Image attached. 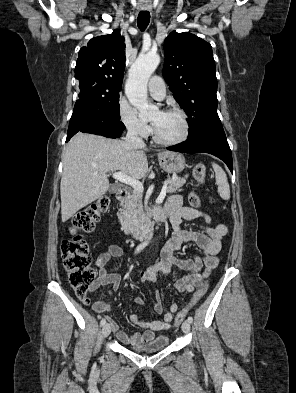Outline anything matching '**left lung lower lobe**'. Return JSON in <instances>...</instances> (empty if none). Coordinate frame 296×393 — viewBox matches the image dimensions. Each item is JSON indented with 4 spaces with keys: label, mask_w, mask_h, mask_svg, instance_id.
I'll list each match as a JSON object with an SVG mask.
<instances>
[{
    "label": "left lung lower lobe",
    "mask_w": 296,
    "mask_h": 393,
    "mask_svg": "<svg viewBox=\"0 0 296 393\" xmlns=\"http://www.w3.org/2000/svg\"><path fill=\"white\" fill-rule=\"evenodd\" d=\"M181 153H209L223 160L233 173L232 154L221 124L212 125L178 145L167 148Z\"/></svg>",
    "instance_id": "left-lung-lower-lobe-1"
}]
</instances>
